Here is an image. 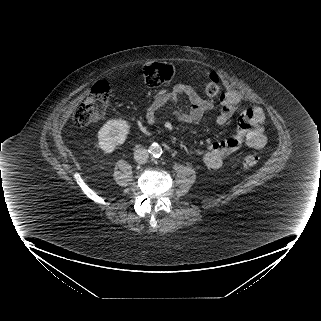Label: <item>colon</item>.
I'll list each match as a JSON object with an SVG mask.
<instances>
[{
  "label": "colon",
  "mask_w": 321,
  "mask_h": 321,
  "mask_svg": "<svg viewBox=\"0 0 321 321\" xmlns=\"http://www.w3.org/2000/svg\"><path fill=\"white\" fill-rule=\"evenodd\" d=\"M175 70L170 63H153L142 69V75L150 86H158L169 82L174 76ZM205 93L210 97L219 95L221 91L220 79L216 73L206 76ZM109 95V85L105 81L96 82L86 98L76 108L73 121L76 126L84 127L101 119ZM259 162V157L254 154H246L242 158L241 165L244 169L254 168Z\"/></svg>",
  "instance_id": "1"
}]
</instances>
